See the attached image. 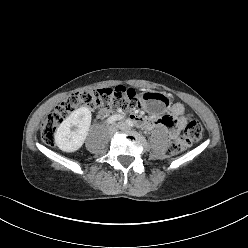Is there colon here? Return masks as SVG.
Instances as JSON below:
<instances>
[{"mask_svg":"<svg viewBox=\"0 0 248 248\" xmlns=\"http://www.w3.org/2000/svg\"><path fill=\"white\" fill-rule=\"evenodd\" d=\"M82 105L91 108L136 110L144 105V96L141 92L124 86L75 92L59 103L42 122L41 138L43 142L53 145L58 126ZM202 134L203 127L199 121L188 122L184 136L170 143L169 152L176 155L185 151L192 142L198 141Z\"/></svg>","mask_w":248,"mask_h":248,"instance_id":"obj_1","label":"colon"}]
</instances>
